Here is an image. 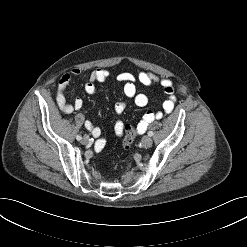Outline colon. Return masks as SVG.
I'll use <instances>...</instances> for the list:
<instances>
[{"instance_id":"1","label":"colon","mask_w":247,"mask_h":247,"mask_svg":"<svg viewBox=\"0 0 247 247\" xmlns=\"http://www.w3.org/2000/svg\"><path fill=\"white\" fill-rule=\"evenodd\" d=\"M135 136H136L135 128L132 125H126L124 128V139H123V147L125 150L130 149Z\"/></svg>"}]
</instances>
